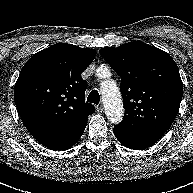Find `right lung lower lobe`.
<instances>
[{"label": "right lung lower lobe", "mask_w": 193, "mask_h": 193, "mask_svg": "<svg viewBox=\"0 0 193 193\" xmlns=\"http://www.w3.org/2000/svg\"><path fill=\"white\" fill-rule=\"evenodd\" d=\"M85 127L86 125L76 129L64 137L49 139L40 143L52 150H67L79 140L85 130Z\"/></svg>", "instance_id": "1"}]
</instances>
